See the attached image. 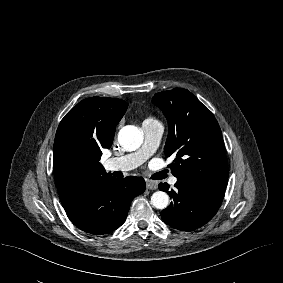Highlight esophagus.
Listing matches in <instances>:
<instances>
[{
  "instance_id": "34e87169",
  "label": "esophagus",
  "mask_w": 283,
  "mask_h": 283,
  "mask_svg": "<svg viewBox=\"0 0 283 283\" xmlns=\"http://www.w3.org/2000/svg\"><path fill=\"white\" fill-rule=\"evenodd\" d=\"M146 188L149 190H155L157 189V183L154 181H146Z\"/></svg>"
}]
</instances>
